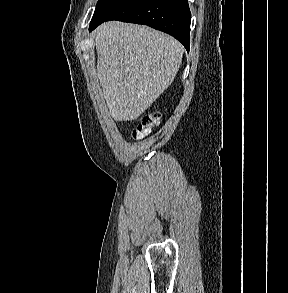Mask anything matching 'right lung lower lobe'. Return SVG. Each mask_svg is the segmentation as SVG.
<instances>
[{"label":"right lung lower lobe","instance_id":"1","mask_svg":"<svg viewBox=\"0 0 288 293\" xmlns=\"http://www.w3.org/2000/svg\"><path fill=\"white\" fill-rule=\"evenodd\" d=\"M110 20L145 24L166 32L189 51L191 13L187 0H127L103 22Z\"/></svg>","mask_w":288,"mask_h":293}]
</instances>
